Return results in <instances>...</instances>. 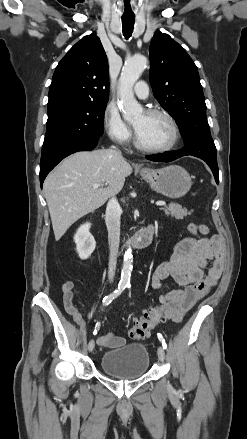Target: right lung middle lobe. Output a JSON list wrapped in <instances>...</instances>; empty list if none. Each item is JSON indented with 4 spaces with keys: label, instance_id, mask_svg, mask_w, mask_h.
<instances>
[{
    "label": "right lung middle lobe",
    "instance_id": "1",
    "mask_svg": "<svg viewBox=\"0 0 247 439\" xmlns=\"http://www.w3.org/2000/svg\"><path fill=\"white\" fill-rule=\"evenodd\" d=\"M106 103L65 100L48 105L42 152L69 144L98 140L103 134Z\"/></svg>",
    "mask_w": 247,
    "mask_h": 439
}]
</instances>
